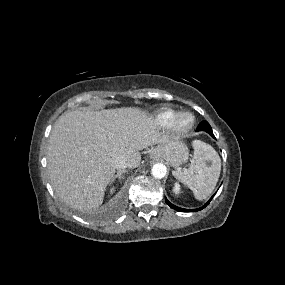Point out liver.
Listing matches in <instances>:
<instances>
[{
  "mask_svg": "<svg viewBox=\"0 0 285 285\" xmlns=\"http://www.w3.org/2000/svg\"><path fill=\"white\" fill-rule=\"evenodd\" d=\"M168 140L139 108L66 112L49 138L47 167L53 189L67 205L94 211L115 176L116 157L125 158L133 169L141 161L140 150Z\"/></svg>",
  "mask_w": 285,
  "mask_h": 285,
  "instance_id": "obj_1",
  "label": "liver"
}]
</instances>
